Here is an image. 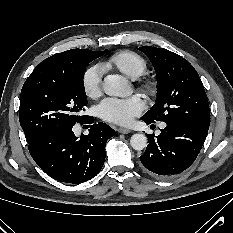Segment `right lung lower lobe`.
Here are the masks:
<instances>
[{
    "label": "right lung lower lobe",
    "mask_w": 233,
    "mask_h": 233,
    "mask_svg": "<svg viewBox=\"0 0 233 233\" xmlns=\"http://www.w3.org/2000/svg\"><path fill=\"white\" fill-rule=\"evenodd\" d=\"M86 116L80 124H92ZM73 126L54 129L28 143L34 161L55 180L79 184L96 176L103 167L105 146L115 131L107 124H92L88 135L76 137ZM89 127V126H88Z\"/></svg>",
    "instance_id": "1"
}]
</instances>
